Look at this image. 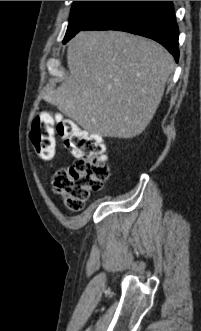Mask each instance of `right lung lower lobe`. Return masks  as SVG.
<instances>
[{"label": "right lung lower lobe", "mask_w": 201, "mask_h": 331, "mask_svg": "<svg viewBox=\"0 0 201 331\" xmlns=\"http://www.w3.org/2000/svg\"><path fill=\"white\" fill-rule=\"evenodd\" d=\"M82 30H120L151 38L179 59L172 1H114Z\"/></svg>", "instance_id": "1"}]
</instances>
